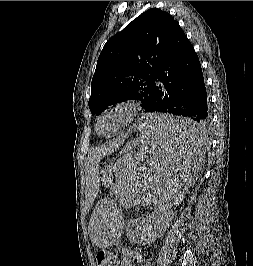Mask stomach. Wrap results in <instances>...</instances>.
I'll return each instance as SVG.
<instances>
[{
  "instance_id": "obj_1",
  "label": "stomach",
  "mask_w": 253,
  "mask_h": 266,
  "mask_svg": "<svg viewBox=\"0 0 253 266\" xmlns=\"http://www.w3.org/2000/svg\"><path fill=\"white\" fill-rule=\"evenodd\" d=\"M137 145H139V138L136 139V140H134V141H131L130 143H128V145L123 149V151L121 153V156H123V154H125V153H130L133 156V150H136ZM117 160H120V158L117 159ZM118 170L119 169H116L115 168V163H114V165H112V166L109 167V171H113L115 173L116 177H117V171ZM100 247H107V246H100Z\"/></svg>"
}]
</instances>
